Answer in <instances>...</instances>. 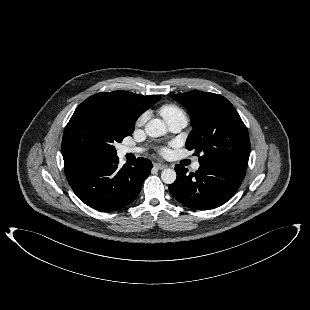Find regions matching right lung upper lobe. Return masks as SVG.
Segmentation results:
<instances>
[{"instance_id": "right-lung-upper-lobe-1", "label": "right lung upper lobe", "mask_w": 310, "mask_h": 310, "mask_svg": "<svg viewBox=\"0 0 310 310\" xmlns=\"http://www.w3.org/2000/svg\"><path fill=\"white\" fill-rule=\"evenodd\" d=\"M161 99V95L142 96L127 91L101 92L88 97L75 112H104L122 123L135 126L137 118ZM64 163L75 161L63 154Z\"/></svg>"}]
</instances>
